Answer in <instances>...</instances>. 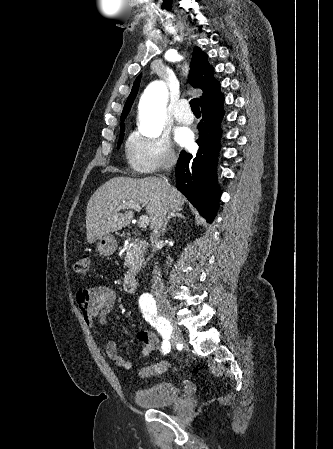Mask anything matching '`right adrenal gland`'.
<instances>
[{"label": "right adrenal gland", "mask_w": 333, "mask_h": 449, "mask_svg": "<svg viewBox=\"0 0 333 449\" xmlns=\"http://www.w3.org/2000/svg\"><path fill=\"white\" fill-rule=\"evenodd\" d=\"M182 209H177V210H171V212H169L168 217L165 219L163 228H162V233L166 232V228H167V224L168 222L175 217H179V218H183L186 219V217L181 213Z\"/></svg>", "instance_id": "1"}]
</instances>
